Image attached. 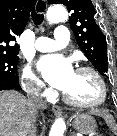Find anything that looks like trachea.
I'll return each mask as SVG.
<instances>
[{
  "label": "trachea",
  "instance_id": "obj_1",
  "mask_svg": "<svg viewBox=\"0 0 117 136\" xmlns=\"http://www.w3.org/2000/svg\"><path fill=\"white\" fill-rule=\"evenodd\" d=\"M37 9L40 12L39 5H37ZM31 16H32V20H33L35 25H41L42 24V22L44 20L43 14L32 12Z\"/></svg>",
  "mask_w": 117,
  "mask_h": 136
}]
</instances>
